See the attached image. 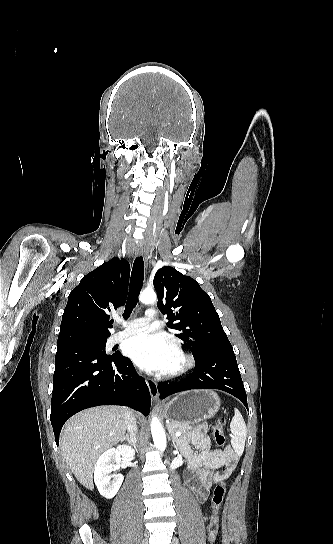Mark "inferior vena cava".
I'll return each mask as SVG.
<instances>
[{
  "instance_id": "602c4592",
  "label": "inferior vena cava",
  "mask_w": 333,
  "mask_h": 544,
  "mask_svg": "<svg viewBox=\"0 0 333 544\" xmlns=\"http://www.w3.org/2000/svg\"><path fill=\"white\" fill-rule=\"evenodd\" d=\"M125 423L127 426L128 433L130 437L136 442V419L134 417V412L128 408H124Z\"/></svg>"
}]
</instances>
